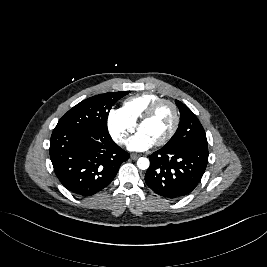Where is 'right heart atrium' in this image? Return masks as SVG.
Listing matches in <instances>:
<instances>
[{"mask_svg": "<svg viewBox=\"0 0 267 267\" xmlns=\"http://www.w3.org/2000/svg\"><path fill=\"white\" fill-rule=\"evenodd\" d=\"M107 128L112 138L123 144L134 131L135 123L127 117L122 108H112L107 114Z\"/></svg>", "mask_w": 267, "mask_h": 267, "instance_id": "obj_1", "label": "right heart atrium"}]
</instances>
